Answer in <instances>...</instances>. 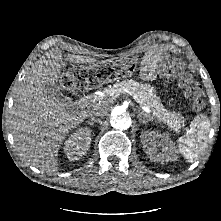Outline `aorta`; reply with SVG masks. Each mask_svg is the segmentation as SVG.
<instances>
[{
	"instance_id": "aorta-1",
	"label": "aorta",
	"mask_w": 221,
	"mask_h": 221,
	"mask_svg": "<svg viewBox=\"0 0 221 221\" xmlns=\"http://www.w3.org/2000/svg\"><path fill=\"white\" fill-rule=\"evenodd\" d=\"M131 117L122 107H116L111 113V126L118 130H126L131 126Z\"/></svg>"
}]
</instances>
